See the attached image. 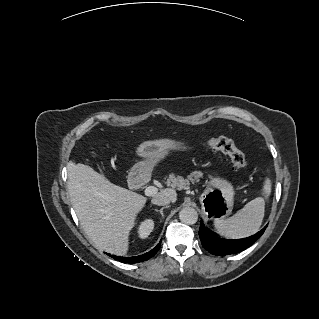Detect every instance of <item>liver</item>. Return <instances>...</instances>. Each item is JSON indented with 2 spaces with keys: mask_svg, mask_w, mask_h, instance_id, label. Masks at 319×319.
Returning a JSON list of instances; mask_svg holds the SVG:
<instances>
[{
  "mask_svg": "<svg viewBox=\"0 0 319 319\" xmlns=\"http://www.w3.org/2000/svg\"><path fill=\"white\" fill-rule=\"evenodd\" d=\"M173 188L164 189L156 196H166L174 202L176 191ZM67 190L85 235L100 250L124 256L129 232L135 225V214L144 207L145 197L111 184L82 164L70 171Z\"/></svg>",
  "mask_w": 319,
  "mask_h": 319,
  "instance_id": "obj_1",
  "label": "liver"
}]
</instances>
